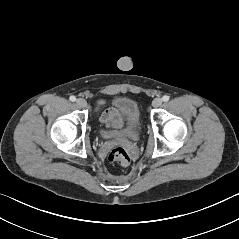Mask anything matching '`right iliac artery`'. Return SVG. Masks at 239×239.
<instances>
[{
    "label": "right iliac artery",
    "instance_id": "right-iliac-artery-1",
    "mask_svg": "<svg viewBox=\"0 0 239 239\" xmlns=\"http://www.w3.org/2000/svg\"><path fill=\"white\" fill-rule=\"evenodd\" d=\"M70 101H72V102H75L76 101V97L75 96H70Z\"/></svg>",
    "mask_w": 239,
    "mask_h": 239
}]
</instances>
